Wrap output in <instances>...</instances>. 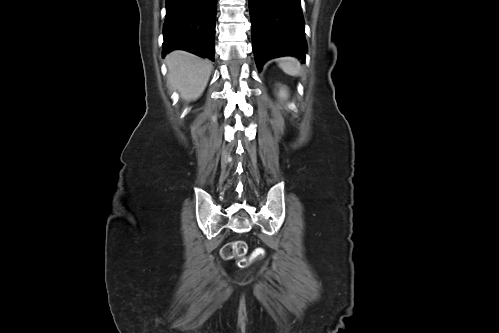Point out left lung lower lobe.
<instances>
[{"label": "left lung lower lobe", "instance_id": "1", "mask_svg": "<svg viewBox=\"0 0 499 333\" xmlns=\"http://www.w3.org/2000/svg\"><path fill=\"white\" fill-rule=\"evenodd\" d=\"M249 11L259 69L267 60L280 56L305 61L307 45L300 0H249Z\"/></svg>", "mask_w": 499, "mask_h": 333}]
</instances>
